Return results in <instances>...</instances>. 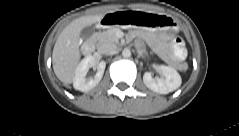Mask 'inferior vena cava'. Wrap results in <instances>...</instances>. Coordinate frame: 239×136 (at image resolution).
<instances>
[{
	"instance_id": "1",
	"label": "inferior vena cava",
	"mask_w": 239,
	"mask_h": 136,
	"mask_svg": "<svg viewBox=\"0 0 239 136\" xmlns=\"http://www.w3.org/2000/svg\"><path fill=\"white\" fill-rule=\"evenodd\" d=\"M117 49V46L113 43H102L98 47V52L101 54H110L113 53Z\"/></svg>"
}]
</instances>
